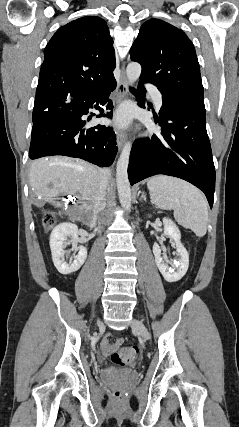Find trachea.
<instances>
[{
	"mask_svg": "<svg viewBox=\"0 0 239 427\" xmlns=\"http://www.w3.org/2000/svg\"><path fill=\"white\" fill-rule=\"evenodd\" d=\"M131 90H132L134 93H138L134 88H131Z\"/></svg>",
	"mask_w": 239,
	"mask_h": 427,
	"instance_id": "obj_1",
	"label": "trachea"
}]
</instances>
